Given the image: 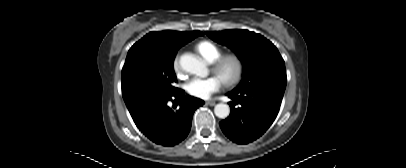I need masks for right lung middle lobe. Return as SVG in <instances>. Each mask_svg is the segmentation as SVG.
<instances>
[{"instance_id":"dd1d6c3e","label":"right lung middle lobe","mask_w":406,"mask_h":168,"mask_svg":"<svg viewBox=\"0 0 406 168\" xmlns=\"http://www.w3.org/2000/svg\"><path fill=\"white\" fill-rule=\"evenodd\" d=\"M174 57L146 48L129 50L122 69V96L131 115L178 89L173 86Z\"/></svg>"}]
</instances>
